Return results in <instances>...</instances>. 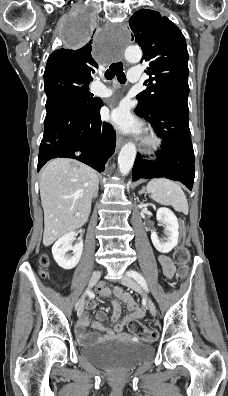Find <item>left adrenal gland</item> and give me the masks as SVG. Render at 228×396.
<instances>
[{
  "label": "left adrenal gland",
  "instance_id": "1",
  "mask_svg": "<svg viewBox=\"0 0 228 396\" xmlns=\"http://www.w3.org/2000/svg\"><path fill=\"white\" fill-rule=\"evenodd\" d=\"M145 194V196H146V194H147V192L145 191V187H142V190L139 192V194Z\"/></svg>",
  "mask_w": 228,
  "mask_h": 396
}]
</instances>
